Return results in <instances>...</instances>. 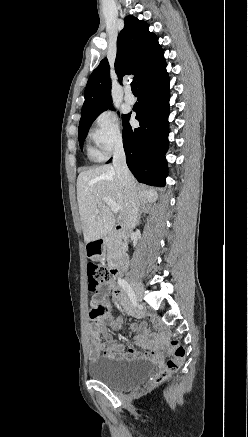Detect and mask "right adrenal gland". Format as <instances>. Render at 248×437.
<instances>
[{
  "label": "right adrenal gland",
  "mask_w": 248,
  "mask_h": 437,
  "mask_svg": "<svg viewBox=\"0 0 248 437\" xmlns=\"http://www.w3.org/2000/svg\"><path fill=\"white\" fill-rule=\"evenodd\" d=\"M149 212V206L148 205H142L141 207H140V214H139V217H138V223L141 221V217H142V215L144 214H147Z\"/></svg>",
  "instance_id": "right-adrenal-gland-1"
}]
</instances>
